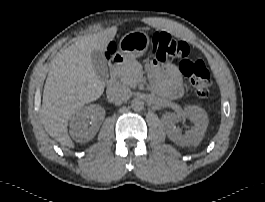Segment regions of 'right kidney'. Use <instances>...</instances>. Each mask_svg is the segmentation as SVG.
<instances>
[{
    "mask_svg": "<svg viewBox=\"0 0 265 202\" xmlns=\"http://www.w3.org/2000/svg\"><path fill=\"white\" fill-rule=\"evenodd\" d=\"M105 117V110L93 104L81 107L70 119V135L79 143L90 141L98 132Z\"/></svg>",
    "mask_w": 265,
    "mask_h": 202,
    "instance_id": "obj_1",
    "label": "right kidney"
}]
</instances>
